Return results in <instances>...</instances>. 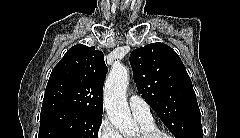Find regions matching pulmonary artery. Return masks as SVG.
Segmentation results:
<instances>
[{"label": "pulmonary artery", "mask_w": 240, "mask_h": 138, "mask_svg": "<svg viewBox=\"0 0 240 138\" xmlns=\"http://www.w3.org/2000/svg\"><path fill=\"white\" fill-rule=\"evenodd\" d=\"M129 107L135 117L142 119L152 118L150 106L144 99L137 95L129 97Z\"/></svg>", "instance_id": "e3ab8cb5"}]
</instances>
